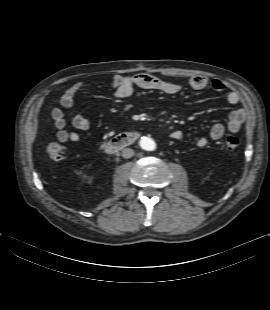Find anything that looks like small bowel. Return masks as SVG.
Instances as JSON below:
<instances>
[{"label": "small bowel", "mask_w": 270, "mask_h": 310, "mask_svg": "<svg viewBox=\"0 0 270 310\" xmlns=\"http://www.w3.org/2000/svg\"><path fill=\"white\" fill-rule=\"evenodd\" d=\"M111 85L114 89L115 97L118 99H125L131 96L135 88H142L146 90H156L165 94H176L181 91V85L162 80L156 76L147 73H137L131 75L116 74L111 79ZM210 86L216 92H224L227 86L220 80L214 79L211 82L201 75L192 77L189 80V87L193 90H202ZM84 87L83 82L76 83L63 94L60 106L55 107L52 110V119L54 127L56 129V138L61 142H79L81 136L76 131H69L66 129V120L64 110L70 112L73 126L77 130H87L89 128V120L76 113L74 110V99L77 93ZM227 102L232 106H237L241 102L240 95L237 91L231 90L227 93ZM247 112L244 108H236L229 114L226 127L221 123L214 124L209 131L210 138L213 140H219L223 137L225 130L227 129L231 133H237L240 131ZM170 136L174 140H181L183 133L180 130H173ZM207 139L201 137L197 140L198 147H204L207 145Z\"/></svg>", "instance_id": "1"}]
</instances>
